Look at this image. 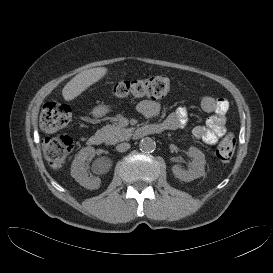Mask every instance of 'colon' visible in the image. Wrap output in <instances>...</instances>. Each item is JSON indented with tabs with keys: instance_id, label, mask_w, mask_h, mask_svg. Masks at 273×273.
<instances>
[{
	"instance_id": "1",
	"label": "colon",
	"mask_w": 273,
	"mask_h": 273,
	"mask_svg": "<svg viewBox=\"0 0 273 273\" xmlns=\"http://www.w3.org/2000/svg\"><path fill=\"white\" fill-rule=\"evenodd\" d=\"M174 82L166 76H153L142 79L123 80L110 87V93L118 98L127 96L158 99L173 88ZM70 108L62 103L47 102L41 112V128L48 133L55 132L68 125L71 120ZM236 139L228 134L218 145L216 155L220 162L228 163L235 152ZM74 144L67 136L47 138L44 142V154L52 167H61L67 161Z\"/></svg>"
}]
</instances>
